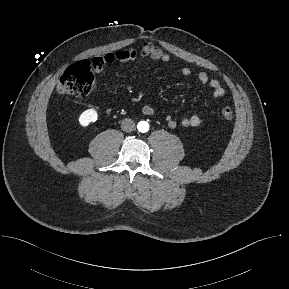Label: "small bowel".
Returning a JSON list of instances; mask_svg holds the SVG:
<instances>
[{"label": "small bowel", "mask_w": 289, "mask_h": 289, "mask_svg": "<svg viewBox=\"0 0 289 289\" xmlns=\"http://www.w3.org/2000/svg\"><path fill=\"white\" fill-rule=\"evenodd\" d=\"M139 57L150 58L152 60L161 61L164 63L170 61V56L165 53L158 45L152 42H146L139 50L134 48L124 49L110 52L100 57H95L91 64L94 73L99 74L107 64L133 61ZM181 73L188 77L191 75V70L188 67H183L181 69ZM198 81L202 85L209 86L212 89V95L214 98H220L224 96L225 89L221 83L216 79H211L207 73L200 72L198 74ZM142 113L146 116H155L158 114V110L154 106L145 105L142 108ZM164 119L170 128H175L177 126V121L172 115L167 114L165 115ZM202 123L203 118L197 114L185 117L181 120V125L186 128L198 127Z\"/></svg>", "instance_id": "c3829d8e"}]
</instances>
